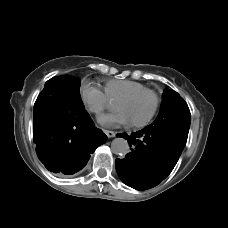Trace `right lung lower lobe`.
Wrapping results in <instances>:
<instances>
[{
	"mask_svg": "<svg viewBox=\"0 0 228 228\" xmlns=\"http://www.w3.org/2000/svg\"><path fill=\"white\" fill-rule=\"evenodd\" d=\"M52 90L34 104V143L39 160L54 173L74 174L88 162L90 154L107 136L93 125L82 107L61 103Z\"/></svg>",
	"mask_w": 228,
	"mask_h": 228,
	"instance_id": "obj_1",
	"label": "right lung lower lobe"
}]
</instances>
